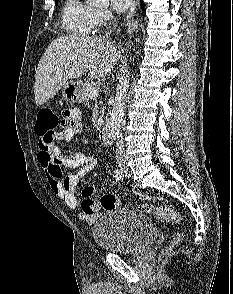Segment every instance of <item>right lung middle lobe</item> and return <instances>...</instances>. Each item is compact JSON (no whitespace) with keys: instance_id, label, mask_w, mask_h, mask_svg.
I'll return each mask as SVG.
<instances>
[{"instance_id":"1","label":"right lung middle lobe","mask_w":233,"mask_h":294,"mask_svg":"<svg viewBox=\"0 0 233 294\" xmlns=\"http://www.w3.org/2000/svg\"><path fill=\"white\" fill-rule=\"evenodd\" d=\"M57 3H58V0H56V5H57Z\"/></svg>"}]
</instances>
